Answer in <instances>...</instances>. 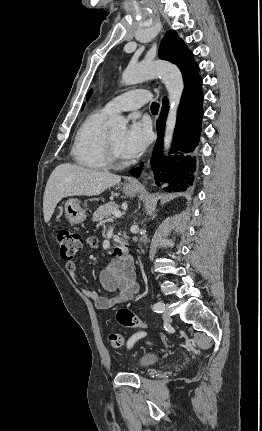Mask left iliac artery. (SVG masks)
Here are the masks:
<instances>
[{"label":"left iliac artery","mask_w":262,"mask_h":431,"mask_svg":"<svg viewBox=\"0 0 262 431\" xmlns=\"http://www.w3.org/2000/svg\"><path fill=\"white\" fill-rule=\"evenodd\" d=\"M164 307H165V304L164 303H162V302H157V303H155L154 304V306H153V310L155 311V312H157V313H162L163 311H164ZM131 344V342L129 341L128 342V346Z\"/></svg>","instance_id":"obj_1"}]
</instances>
